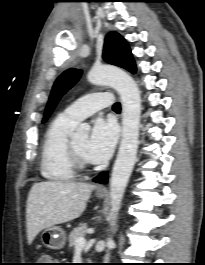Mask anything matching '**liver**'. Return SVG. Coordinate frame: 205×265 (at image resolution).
I'll return each mask as SVG.
<instances>
[{
	"mask_svg": "<svg viewBox=\"0 0 205 265\" xmlns=\"http://www.w3.org/2000/svg\"><path fill=\"white\" fill-rule=\"evenodd\" d=\"M94 188L95 185L81 182L35 183L26 206L28 244L40 231L80 217Z\"/></svg>",
	"mask_w": 205,
	"mask_h": 265,
	"instance_id": "liver-1",
	"label": "liver"
}]
</instances>
